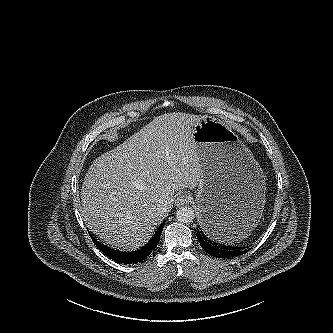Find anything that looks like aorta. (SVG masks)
Returning a JSON list of instances; mask_svg holds the SVG:
<instances>
[{"instance_id": "aorta-1", "label": "aorta", "mask_w": 333, "mask_h": 333, "mask_svg": "<svg viewBox=\"0 0 333 333\" xmlns=\"http://www.w3.org/2000/svg\"><path fill=\"white\" fill-rule=\"evenodd\" d=\"M176 218L180 223L189 224L195 218L194 210L190 206H182L177 210Z\"/></svg>"}]
</instances>
